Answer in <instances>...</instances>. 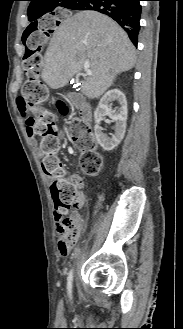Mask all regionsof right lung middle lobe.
I'll use <instances>...</instances> for the list:
<instances>
[{"mask_svg": "<svg viewBox=\"0 0 183 329\" xmlns=\"http://www.w3.org/2000/svg\"><path fill=\"white\" fill-rule=\"evenodd\" d=\"M55 8V5L51 6L49 9H54ZM58 7H56L54 10H53V13L51 14H54V11L57 9ZM26 33L28 32L27 30L25 31Z\"/></svg>", "mask_w": 183, "mask_h": 329, "instance_id": "obj_1", "label": "right lung middle lobe"}]
</instances>
